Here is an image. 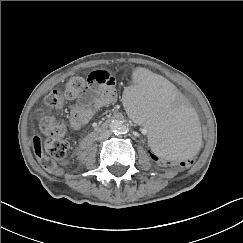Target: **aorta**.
<instances>
[{"mask_svg":"<svg viewBox=\"0 0 243 243\" xmlns=\"http://www.w3.org/2000/svg\"><path fill=\"white\" fill-rule=\"evenodd\" d=\"M110 127L115 134H125L128 131V127L121 120H113Z\"/></svg>","mask_w":243,"mask_h":243,"instance_id":"762f6f07","label":"aorta"}]
</instances>
